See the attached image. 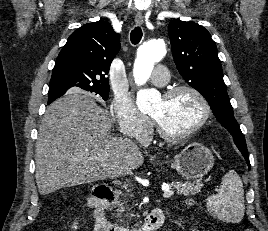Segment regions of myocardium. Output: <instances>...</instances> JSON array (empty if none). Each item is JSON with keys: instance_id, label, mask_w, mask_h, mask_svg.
Wrapping results in <instances>:
<instances>
[{"instance_id": "obj_1", "label": "myocardium", "mask_w": 268, "mask_h": 231, "mask_svg": "<svg viewBox=\"0 0 268 231\" xmlns=\"http://www.w3.org/2000/svg\"><path fill=\"white\" fill-rule=\"evenodd\" d=\"M181 93H188L194 96L202 107V114H201L199 121L193 127H191L189 130L182 132V133H171L167 131L164 128V126L161 124V122L152 116V120H153V123L155 125V128L158 134L164 140L169 141V142L182 141V140L192 137L200 129H202L203 126L207 123L210 117V113H211V108L206 97L198 89L188 86V85L175 86L165 91L162 98L164 100H170Z\"/></svg>"}]
</instances>
